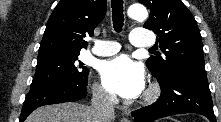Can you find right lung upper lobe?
Wrapping results in <instances>:
<instances>
[{
	"mask_svg": "<svg viewBox=\"0 0 221 122\" xmlns=\"http://www.w3.org/2000/svg\"><path fill=\"white\" fill-rule=\"evenodd\" d=\"M106 7V0H61L47 22L38 59L79 55L87 47L83 38L86 34L93 35Z\"/></svg>",
	"mask_w": 221,
	"mask_h": 122,
	"instance_id": "obj_1",
	"label": "right lung upper lobe"
}]
</instances>
